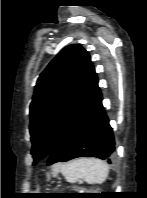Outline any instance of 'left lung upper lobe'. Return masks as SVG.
Wrapping results in <instances>:
<instances>
[{
	"label": "left lung upper lobe",
	"instance_id": "1",
	"mask_svg": "<svg viewBox=\"0 0 147 198\" xmlns=\"http://www.w3.org/2000/svg\"><path fill=\"white\" fill-rule=\"evenodd\" d=\"M96 82L90 56L78 44L61 50L41 73L30 104L33 165L50 155Z\"/></svg>",
	"mask_w": 147,
	"mask_h": 198
}]
</instances>
